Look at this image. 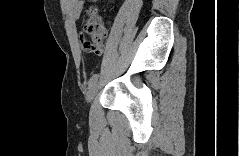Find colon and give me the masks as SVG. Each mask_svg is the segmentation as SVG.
<instances>
[{
  "label": "colon",
  "instance_id": "colon-1",
  "mask_svg": "<svg viewBox=\"0 0 239 156\" xmlns=\"http://www.w3.org/2000/svg\"><path fill=\"white\" fill-rule=\"evenodd\" d=\"M82 31L92 38V41L85 39L83 49L88 53L94 52L101 45L105 36L95 8L91 7L87 10L85 21L82 24Z\"/></svg>",
  "mask_w": 239,
  "mask_h": 156
}]
</instances>
